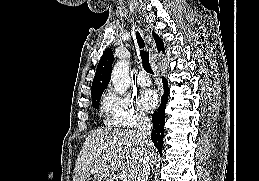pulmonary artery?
<instances>
[{"label": "pulmonary artery", "instance_id": "1", "mask_svg": "<svg viewBox=\"0 0 259 181\" xmlns=\"http://www.w3.org/2000/svg\"><path fill=\"white\" fill-rule=\"evenodd\" d=\"M136 80H137V83L142 87H147L151 84L150 78L143 70L138 73Z\"/></svg>", "mask_w": 259, "mask_h": 181}]
</instances>
